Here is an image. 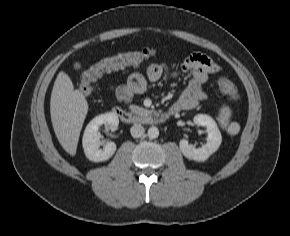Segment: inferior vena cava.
<instances>
[{"instance_id": "obj_1", "label": "inferior vena cava", "mask_w": 290, "mask_h": 236, "mask_svg": "<svg viewBox=\"0 0 290 236\" xmlns=\"http://www.w3.org/2000/svg\"><path fill=\"white\" fill-rule=\"evenodd\" d=\"M130 133L134 138H139L144 134V128L141 124H134L131 129Z\"/></svg>"}]
</instances>
